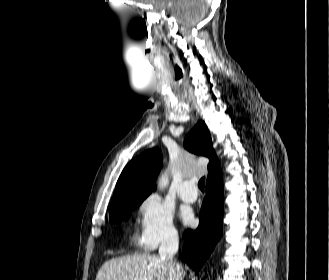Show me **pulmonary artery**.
<instances>
[{
  "label": "pulmonary artery",
  "mask_w": 329,
  "mask_h": 280,
  "mask_svg": "<svg viewBox=\"0 0 329 280\" xmlns=\"http://www.w3.org/2000/svg\"><path fill=\"white\" fill-rule=\"evenodd\" d=\"M179 195L181 199L185 202L193 203L198 198L197 186L195 184V179H187L183 181Z\"/></svg>",
  "instance_id": "1"
}]
</instances>
